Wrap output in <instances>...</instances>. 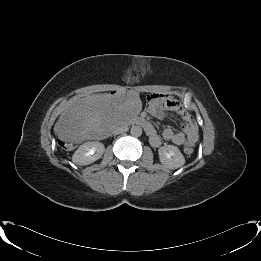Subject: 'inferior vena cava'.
<instances>
[{
    "mask_svg": "<svg viewBox=\"0 0 261 261\" xmlns=\"http://www.w3.org/2000/svg\"><path fill=\"white\" fill-rule=\"evenodd\" d=\"M127 129H128V127L126 125H122V126L116 127L113 130V134L117 135V134L123 133V132L127 131Z\"/></svg>",
    "mask_w": 261,
    "mask_h": 261,
    "instance_id": "inferior-vena-cava-1",
    "label": "inferior vena cava"
}]
</instances>
